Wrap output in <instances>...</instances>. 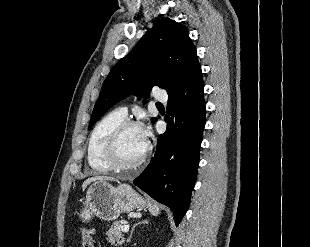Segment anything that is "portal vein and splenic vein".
I'll use <instances>...</instances> for the list:
<instances>
[{"instance_id":"portal-vein-and-splenic-vein-1","label":"portal vein and splenic vein","mask_w":310,"mask_h":247,"mask_svg":"<svg viewBox=\"0 0 310 247\" xmlns=\"http://www.w3.org/2000/svg\"><path fill=\"white\" fill-rule=\"evenodd\" d=\"M122 231H123V232H128V231H129V225H124V226L122 227Z\"/></svg>"}]
</instances>
